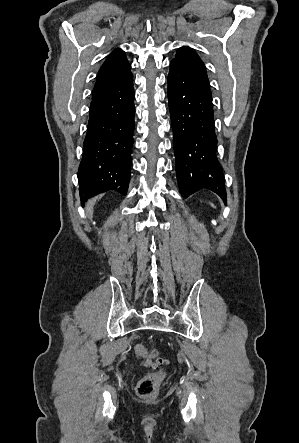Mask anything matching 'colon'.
Masks as SVG:
<instances>
[{
    "mask_svg": "<svg viewBox=\"0 0 299 443\" xmlns=\"http://www.w3.org/2000/svg\"><path fill=\"white\" fill-rule=\"evenodd\" d=\"M134 351L137 358L146 367L155 368L166 363V360L159 356L157 350L148 351V349L142 344H137ZM163 377V371L151 372L144 375L136 387L138 396L143 399L154 398L158 392Z\"/></svg>",
    "mask_w": 299,
    "mask_h": 443,
    "instance_id": "5ec220e1",
    "label": "colon"
}]
</instances>
